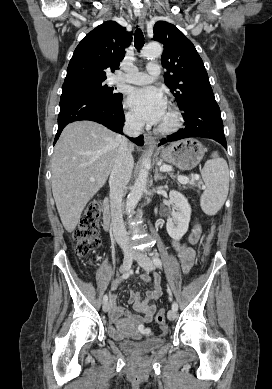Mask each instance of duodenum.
Wrapping results in <instances>:
<instances>
[{
  "instance_id": "1",
  "label": "duodenum",
  "mask_w": 272,
  "mask_h": 389,
  "mask_svg": "<svg viewBox=\"0 0 272 389\" xmlns=\"http://www.w3.org/2000/svg\"><path fill=\"white\" fill-rule=\"evenodd\" d=\"M103 227L106 231H109L111 228V211H110V204L109 199L105 198L103 201Z\"/></svg>"
}]
</instances>
